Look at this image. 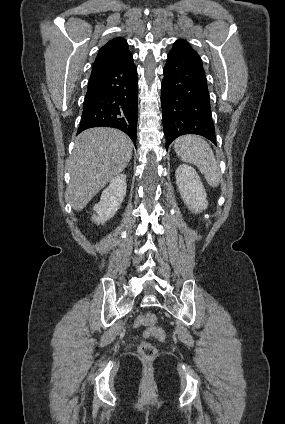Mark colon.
<instances>
[{"mask_svg": "<svg viewBox=\"0 0 285 424\" xmlns=\"http://www.w3.org/2000/svg\"><path fill=\"white\" fill-rule=\"evenodd\" d=\"M156 322V317L154 314L147 313L144 315H141L136 320L135 325L136 326H152ZM147 335H152L156 337L157 339L163 341L165 340V333L158 328H149ZM138 352L139 354L145 358V359H152L156 356L157 350L156 347L146 341H143L138 346Z\"/></svg>", "mask_w": 285, "mask_h": 424, "instance_id": "1", "label": "colon"}]
</instances>
